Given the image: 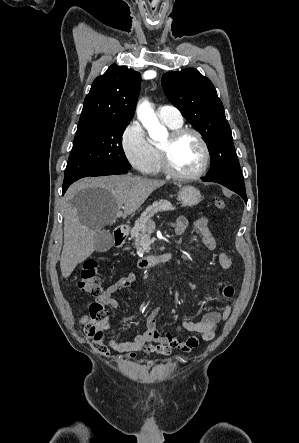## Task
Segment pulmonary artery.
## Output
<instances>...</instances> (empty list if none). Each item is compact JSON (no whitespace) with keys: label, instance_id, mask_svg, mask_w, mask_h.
<instances>
[{"label":"pulmonary artery","instance_id":"obj_1","mask_svg":"<svg viewBox=\"0 0 299 443\" xmlns=\"http://www.w3.org/2000/svg\"><path fill=\"white\" fill-rule=\"evenodd\" d=\"M157 112L158 116L163 121H168L175 124L183 123V118L180 111L174 106L170 105L160 106Z\"/></svg>","mask_w":299,"mask_h":443}]
</instances>
